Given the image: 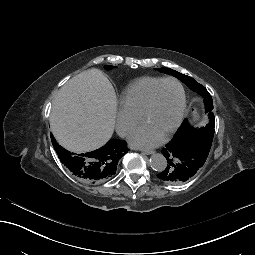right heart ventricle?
I'll return each mask as SVG.
<instances>
[{
	"instance_id": "right-heart-ventricle-1",
	"label": "right heart ventricle",
	"mask_w": 255,
	"mask_h": 255,
	"mask_svg": "<svg viewBox=\"0 0 255 255\" xmlns=\"http://www.w3.org/2000/svg\"><path fill=\"white\" fill-rule=\"evenodd\" d=\"M159 77H143L130 84L118 97L119 106L140 116L151 89Z\"/></svg>"
}]
</instances>
